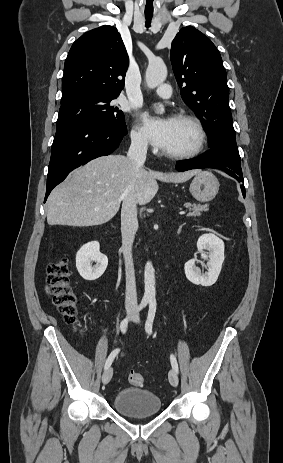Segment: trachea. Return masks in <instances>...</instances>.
<instances>
[{"instance_id": "obj_1", "label": "trachea", "mask_w": 283, "mask_h": 463, "mask_svg": "<svg viewBox=\"0 0 283 463\" xmlns=\"http://www.w3.org/2000/svg\"><path fill=\"white\" fill-rule=\"evenodd\" d=\"M146 27H150L151 19H152V14H146Z\"/></svg>"}]
</instances>
